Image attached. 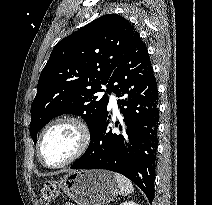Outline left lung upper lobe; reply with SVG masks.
I'll return each mask as SVG.
<instances>
[{
  "label": "left lung upper lobe",
  "instance_id": "obj_1",
  "mask_svg": "<svg viewBox=\"0 0 212 205\" xmlns=\"http://www.w3.org/2000/svg\"><path fill=\"white\" fill-rule=\"evenodd\" d=\"M131 23L117 14H106L62 39L53 49L38 81L31 105L30 134L62 114L81 116L90 135L106 111L104 91L133 36Z\"/></svg>",
  "mask_w": 212,
  "mask_h": 205
}]
</instances>
